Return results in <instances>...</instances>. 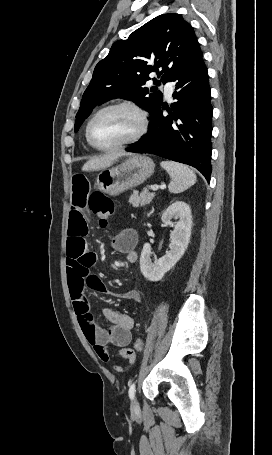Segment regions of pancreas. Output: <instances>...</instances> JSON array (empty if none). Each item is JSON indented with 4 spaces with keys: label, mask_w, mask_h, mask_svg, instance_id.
Listing matches in <instances>:
<instances>
[{
    "label": "pancreas",
    "mask_w": 272,
    "mask_h": 455,
    "mask_svg": "<svg viewBox=\"0 0 272 455\" xmlns=\"http://www.w3.org/2000/svg\"><path fill=\"white\" fill-rule=\"evenodd\" d=\"M154 196H155L154 193L149 192L148 189L145 188L140 194L137 193L133 194L130 197L129 202L134 207L144 206L146 204H149L154 198Z\"/></svg>",
    "instance_id": "1"
}]
</instances>
